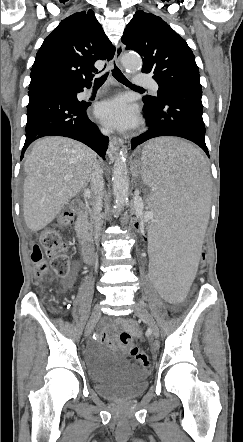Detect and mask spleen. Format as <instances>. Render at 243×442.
<instances>
[{"instance_id": "1", "label": "spleen", "mask_w": 243, "mask_h": 442, "mask_svg": "<svg viewBox=\"0 0 243 442\" xmlns=\"http://www.w3.org/2000/svg\"><path fill=\"white\" fill-rule=\"evenodd\" d=\"M135 176L148 193L145 209L151 214L149 279L153 291L168 307H179L188 296L200 242L209 219L208 171L202 153L175 138L147 143L139 155ZM167 192V193H164Z\"/></svg>"}]
</instances>
